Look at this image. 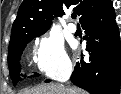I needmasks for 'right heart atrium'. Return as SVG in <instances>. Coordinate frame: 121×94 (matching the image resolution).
<instances>
[{"mask_svg": "<svg viewBox=\"0 0 121 94\" xmlns=\"http://www.w3.org/2000/svg\"><path fill=\"white\" fill-rule=\"evenodd\" d=\"M33 60L35 67L49 77L65 78L72 71L63 41L54 32L39 39L33 50Z\"/></svg>", "mask_w": 121, "mask_h": 94, "instance_id": "1", "label": "right heart atrium"}]
</instances>
